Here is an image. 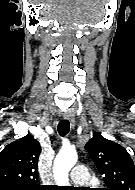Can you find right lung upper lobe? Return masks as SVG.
Here are the masks:
<instances>
[{
    "instance_id": "1",
    "label": "right lung upper lobe",
    "mask_w": 135,
    "mask_h": 190,
    "mask_svg": "<svg viewBox=\"0 0 135 190\" xmlns=\"http://www.w3.org/2000/svg\"><path fill=\"white\" fill-rule=\"evenodd\" d=\"M39 142L31 135L8 144L0 153V188L14 187L19 190L41 188L36 184Z\"/></svg>"
}]
</instances>
